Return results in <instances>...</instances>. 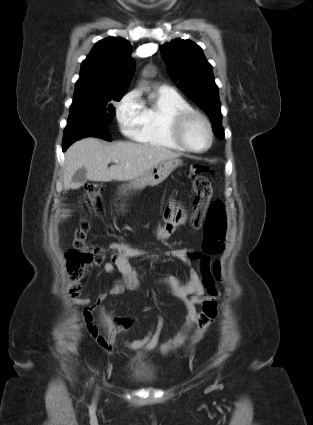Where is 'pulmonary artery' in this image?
<instances>
[{
    "mask_svg": "<svg viewBox=\"0 0 313 425\" xmlns=\"http://www.w3.org/2000/svg\"><path fill=\"white\" fill-rule=\"evenodd\" d=\"M161 89L166 90V91H173L170 87L168 86H162Z\"/></svg>",
    "mask_w": 313,
    "mask_h": 425,
    "instance_id": "1",
    "label": "pulmonary artery"
}]
</instances>
